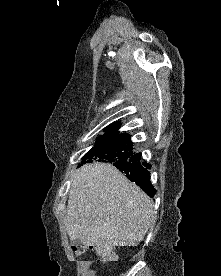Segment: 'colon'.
Segmentation results:
<instances>
[{
	"label": "colon",
	"mask_w": 221,
	"mask_h": 276,
	"mask_svg": "<svg viewBox=\"0 0 221 276\" xmlns=\"http://www.w3.org/2000/svg\"><path fill=\"white\" fill-rule=\"evenodd\" d=\"M86 250H87V247L83 245L72 246V251L77 255L83 254ZM93 250L100 257L101 261L104 264L109 265L116 261V255L109 247L97 246V247H93Z\"/></svg>",
	"instance_id": "1"
}]
</instances>
